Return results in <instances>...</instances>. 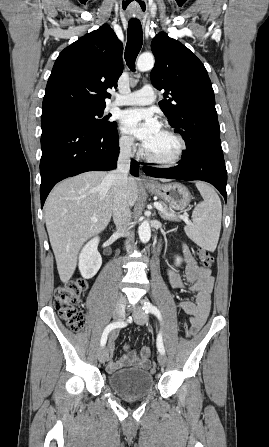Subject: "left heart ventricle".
Masks as SVG:
<instances>
[{
    "label": "left heart ventricle",
    "instance_id": "left-heart-ventricle-1",
    "mask_svg": "<svg viewBox=\"0 0 269 447\" xmlns=\"http://www.w3.org/2000/svg\"><path fill=\"white\" fill-rule=\"evenodd\" d=\"M147 152L155 159L170 160L179 148V142L166 129L161 127L153 137L145 143Z\"/></svg>",
    "mask_w": 269,
    "mask_h": 447
}]
</instances>
